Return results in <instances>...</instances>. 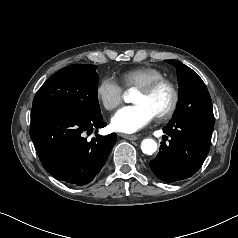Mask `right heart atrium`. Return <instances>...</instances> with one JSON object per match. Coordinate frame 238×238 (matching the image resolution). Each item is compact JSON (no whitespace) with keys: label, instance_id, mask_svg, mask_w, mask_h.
<instances>
[{"label":"right heart atrium","instance_id":"d8ad5b80","mask_svg":"<svg viewBox=\"0 0 238 238\" xmlns=\"http://www.w3.org/2000/svg\"><path fill=\"white\" fill-rule=\"evenodd\" d=\"M96 96L106 110H113L123 100V87L114 78L104 77L97 86Z\"/></svg>","mask_w":238,"mask_h":238}]
</instances>
